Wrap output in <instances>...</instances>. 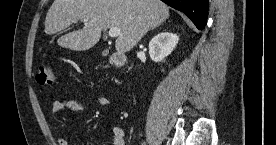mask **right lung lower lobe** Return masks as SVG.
<instances>
[{"label":"right lung lower lobe","mask_w":276,"mask_h":145,"mask_svg":"<svg viewBox=\"0 0 276 145\" xmlns=\"http://www.w3.org/2000/svg\"><path fill=\"white\" fill-rule=\"evenodd\" d=\"M176 10L184 12L199 30L206 25L208 0H161Z\"/></svg>","instance_id":"98d812e1"}]
</instances>
